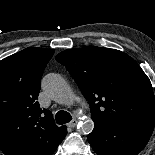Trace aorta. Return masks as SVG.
<instances>
[{"label": "aorta", "mask_w": 155, "mask_h": 155, "mask_svg": "<svg viewBox=\"0 0 155 155\" xmlns=\"http://www.w3.org/2000/svg\"><path fill=\"white\" fill-rule=\"evenodd\" d=\"M42 87L47 94L60 104H69L73 98V92L69 84L59 74H47L42 80ZM78 129L81 133L87 135L94 129V122L87 118L78 123Z\"/></svg>", "instance_id": "aorta-1"}]
</instances>
